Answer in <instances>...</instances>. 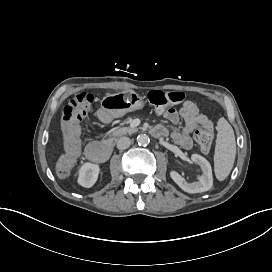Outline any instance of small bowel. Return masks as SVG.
I'll use <instances>...</instances> for the list:
<instances>
[{"mask_svg":"<svg viewBox=\"0 0 272 272\" xmlns=\"http://www.w3.org/2000/svg\"><path fill=\"white\" fill-rule=\"evenodd\" d=\"M158 113L163 114L174 125H178L181 120L183 121L182 129H175L171 136L176 144L184 149H190L193 145L192 135L203 129L198 124V119L202 115L198 105L191 100H185L178 110H164L159 108ZM155 128L162 129L165 134L167 132L166 128L162 125H157Z\"/></svg>","mask_w":272,"mask_h":272,"instance_id":"obj_1","label":"small bowel"}]
</instances>
